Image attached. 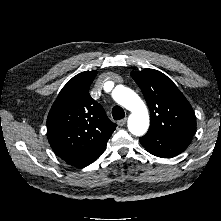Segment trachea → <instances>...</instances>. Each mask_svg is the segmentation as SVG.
<instances>
[{
  "instance_id": "trachea-1",
  "label": "trachea",
  "mask_w": 221,
  "mask_h": 221,
  "mask_svg": "<svg viewBox=\"0 0 221 221\" xmlns=\"http://www.w3.org/2000/svg\"><path fill=\"white\" fill-rule=\"evenodd\" d=\"M112 116L114 120H121L125 117V112L120 106H115L112 109Z\"/></svg>"
}]
</instances>
